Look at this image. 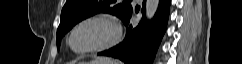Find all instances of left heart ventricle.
I'll return each mask as SVG.
<instances>
[{"label": "left heart ventricle", "instance_id": "b2bd125f", "mask_svg": "<svg viewBox=\"0 0 242 64\" xmlns=\"http://www.w3.org/2000/svg\"><path fill=\"white\" fill-rule=\"evenodd\" d=\"M111 28L104 23H90L81 27L74 35L72 44L77 50L86 49L105 41Z\"/></svg>", "mask_w": 242, "mask_h": 64}]
</instances>
